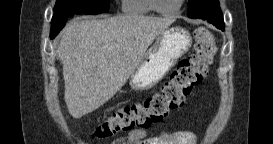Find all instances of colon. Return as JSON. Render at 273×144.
<instances>
[{"instance_id": "1", "label": "colon", "mask_w": 273, "mask_h": 144, "mask_svg": "<svg viewBox=\"0 0 273 144\" xmlns=\"http://www.w3.org/2000/svg\"><path fill=\"white\" fill-rule=\"evenodd\" d=\"M194 49L192 55L178 63L159 92L142 102L117 108L94 127V135L109 138L120 132L146 129L180 107L191 89L206 77L212 64L216 48L209 30L198 28L195 31Z\"/></svg>"}]
</instances>
